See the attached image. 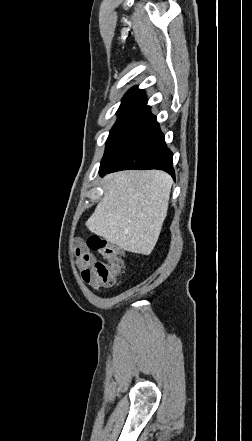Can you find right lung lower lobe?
<instances>
[{"label": "right lung lower lobe", "mask_w": 252, "mask_h": 441, "mask_svg": "<svg viewBox=\"0 0 252 441\" xmlns=\"http://www.w3.org/2000/svg\"><path fill=\"white\" fill-rule=\"evenodd\" d=\"M172 158L173 154L165 144L156 117L150 113V107L146 106L123 145L110 161L101 164L99 172L105 175L125 169H159L174 177Z\"/></svg>", "instance_id": "98d812e1"}]
</instances>
